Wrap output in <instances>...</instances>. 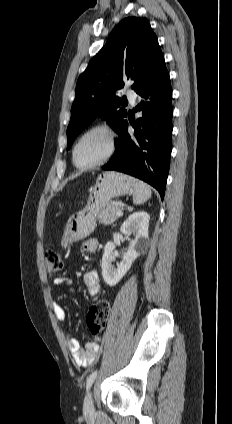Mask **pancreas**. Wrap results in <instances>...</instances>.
Returning <instances> with one entry per match:
<instances>
[{"instance_id":"pancreas-1","label":"pancreas","mask_w":232,"mask_h":424,"mask_svg":"<svg viewBox=\"0 0 232 424\" xmlns=\"http://www.w3.org/2000/svg\"><path fill=\"white\" fill-rule=\"evenodd\" d=\"M118 210H121L120 207L112 204L108 205L99 213L97 217L99 223L104 225H110L115 222L118 219V216L116 215V212Z\"/></svg>"}]
</instances>
